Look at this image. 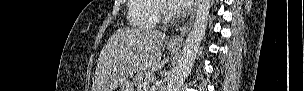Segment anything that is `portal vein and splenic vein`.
Listing matches in <instances>:
<instances>
[{"label":"portal vein and splenic vein","mask_w":304,"mask_h":91,"mask_svg":"<svg viewBox=\"0 0 304 91\" xmlns=\"http://www.w3.org/2000/svg\"><path fill=\"white\" fill-rule=\"evenodd\" d=\"M148 88H149V84L145 83L144 86H143L144 91H147Z\"/></svg>","instance_id":"obj_1"}]
</instances>
